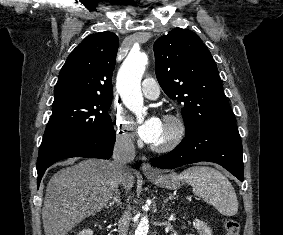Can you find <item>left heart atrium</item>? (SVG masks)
Masks as SVG:
<instances>
[{"label":"left heart atrium","instance_id":"left-heart-atrium-1","mask_svg":"<svg viewBox=\"0 0 283 235\" xmlns=\"http://www.w3.org/2000/svg\"><path fill=\"white\" fill-rule=\"evenodd\" d=\"M162 130V120L156 116H152L139 126V135L146 143L154 144L160 137Z\"/></svg>","mask_w":283,"mask_h":235}]
</instances>
